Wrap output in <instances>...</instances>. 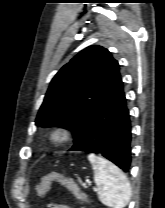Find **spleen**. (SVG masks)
Instances as JSON below:
<instances>
[{
  "label": "spleen",
  "instance_id": "obj_1",
  "mask_svg": "<svg viewBox=\"0 0 165 208\" xmlns=\"http://www.w3.org/2000/svg\"><path fill=\"white\" fill-rule=\"evenodd\" d=\"M88 160L93 165L100 201L108 207L124 208L131 198V187L125 174L103 157L90 154Z\"/></svg>",
  "mask_w": 165,
  "mask_h": 208
}]
</instances>
